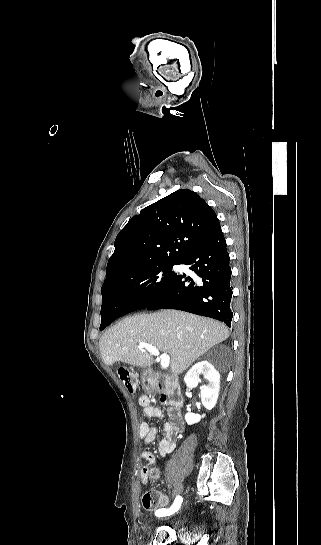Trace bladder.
Segmentation results:
<instances>
[{
	"label": "bladder",
	"instance_id": "obj_1",
	"mask_svg": "<svg viewBox=\"0 0 321 545\" xmlns=\"http://www.w3.org/2000/svg\"><path fill=\"white\" fill-rule=\"evenodd\" d=\"M156 519H159V520H162V521H165L167 522L168 524H170L171 527H173L174 529L175 528H179L181 527L183 524H184V519L178 515H172V516H167V517H160V518H156Z\"/></svg>",
	"mask_w": 321,
	"mask_h": 545
}]
</instances>
